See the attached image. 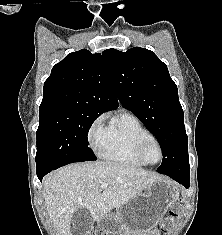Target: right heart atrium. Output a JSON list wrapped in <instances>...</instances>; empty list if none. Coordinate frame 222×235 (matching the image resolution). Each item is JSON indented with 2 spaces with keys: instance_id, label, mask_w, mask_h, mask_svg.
Returning <instances> with one entry per match:
<instances>
[{
  "instance_id": "d8ad5b80",
  "label": "right heart atrium",
  "mask_w": 222,
  "mask_h": 235,
  "mask_svg": "<svg viewBox=\"0 0 222 235\" xmlns=\"http://www.w3.org/2000/svg\"><path fill=\"white\" fill-rule=\"evenodd\" d=\"M103 131V116H99L93 121L88 130V140L94 148L98 147L103 136Z\"/></svg>"
}]
</instances>
